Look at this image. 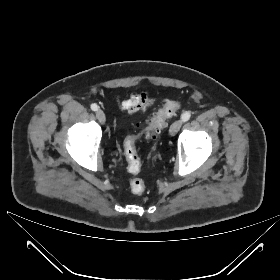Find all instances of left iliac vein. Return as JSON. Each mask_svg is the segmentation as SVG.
<instances>
[{
    "label": "left iliac vein",
    "instance_id": "obj_1",
    "mask_svg": "<svg viewBox=\"0 0 280 280\" xmlns=\"http://www.w3.org/2000/svg\"><path fill=\"white\" fill-rule=\"evenodd\" d=\"M182 125V121L181 120H177L175 122L172 123V125L169 128V134L170 135H175L179 129L181 128Z\"/></svg>",
    "mask_w": 280,
    "mask_h": 280
}]
</instances>
